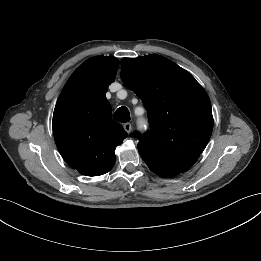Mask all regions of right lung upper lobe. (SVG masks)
I'll list each match as a JSON object with an SVG mask.
<instances>
[{"mask_svg": "<svg viewBox=\"0 0 261 261\" xmlns=\"http://www.w3.org/2000/svg\"><path fill=\"white\" fill-rule=\"evenodd\" d=\"M119 60L96 56L86 60L64 86L53 113L57 148L82 175L99 176L110 171L115 148L127 137L122 125L112 119L106 99Z\"/></svg>", "mask_w": 261, "mask_h": 261, "instance_id": "obj_1", "label": "right lung upper lobe"}]
</instances>
